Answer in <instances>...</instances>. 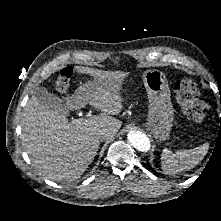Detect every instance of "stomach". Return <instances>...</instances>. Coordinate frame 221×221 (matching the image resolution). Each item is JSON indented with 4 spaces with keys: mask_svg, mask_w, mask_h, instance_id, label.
Segmentation results:
<instances>
[{
    "mask_svg": "<svg viewBox=\"0 0 221 221\" xmlns=\"http://www.w3.org/2000/svg\"><path fill=\"white\" fill-rule=\"evenodd\" d=\"M143 82L149 100L145 126L158 141H165L174 118L167 79L159 70H147L143 74Z\"/></svg>",
    "mask_w": 221,
    "mask_h": 221,
    "instance_id": "1",
    "label": "stomach"
}]
</instances>
